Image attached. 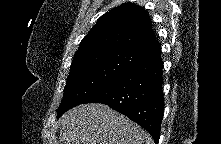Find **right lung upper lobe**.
<instances>
[{
	"label": "right lung upper lobe",
	"mask_w": 221,
	"mask_h": 144,
	"mask_svg": "<svg viewBox=\"0 0 221 144\" xmlns=\"http://www.w3.org/2000/svg\"><path fill=\"white\" fill-rule=\"evenodd\" d=\"M158 47L149 15L140 6L127 3L100 17L81 41L72 62L105 51H125L144 57Z\"/></svg>",
	"instance_id": "1"
}]
</instances>
